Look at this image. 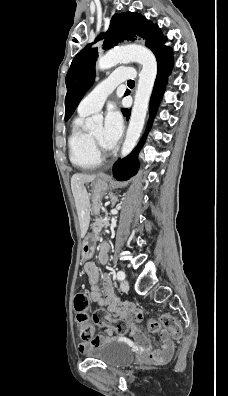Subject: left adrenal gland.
Returning a JSON list of instances; mask_svg holds the SVG:
<instances>
[{
	"label": "left adrenal gland",
	"instance_id": "a2214340",
	"mask_svg": "<svg viewBox=\"0 0 228 396\" xmlns=\"http://www.w3.org/2000/svg\"><path fill=\"white\" fill-rule=\"evenodd\" d=\"M110 198H111V202H112V207H114L115 206V204H116V202H117V197L116 196H114L113 194H111L110 195Z\"/></svg>",
	"mask_w": 228,
	"mask_h": 396
}]
</instances>
